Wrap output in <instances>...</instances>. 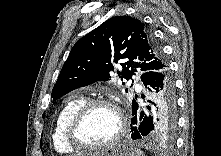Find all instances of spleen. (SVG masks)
Wrapping results in <instances>:
<instances>
[{
  "mask_svg": "<svg viewBox=\"0 0 221 156\" xmlns=\"http://www.w3.org/2000/svg\"><path fill=\"white\" fill-rule=\"evenodd\" d=\"M136 155L137 156H144L143 152L139 149H136Z\"/></svg>",
  "mask_w": 221,
  "mask_h": 156,
  "instance_id": "1",
  "label": "spleen"
}]
</instances>
